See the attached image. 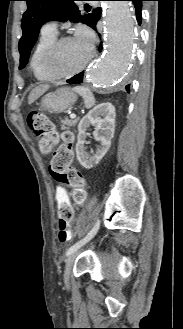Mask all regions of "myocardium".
Segmentation results:
<instances>
[{"instance_id": "obj_1", "label": "myocardium", "mask_w": 183, "mask_h": 329, "mask_svg": "<svg viewBox=\"0 0 183 329\" xmlns=\"http://www.w3.org/2000/svg\"><path fill=\"white\" fill-rule=\"evenodd\" d=\"M70 39H73L72 36L66 35V36H61L59 38H57L53 44L50 46L47 55H46V59H45V65H46V69L49 72V74L51 75V77L53 79H62V78H68V77H72L74 75L79 74L80 72H82L87 66L88 64L92 61L93 57H94V51L92 49H90V53L88 55L87 60L77 69L69 71V72H58L55 69V62L58 56V52L60 50V47L62 46V44Z\"/></svg>"}]
</instances>
